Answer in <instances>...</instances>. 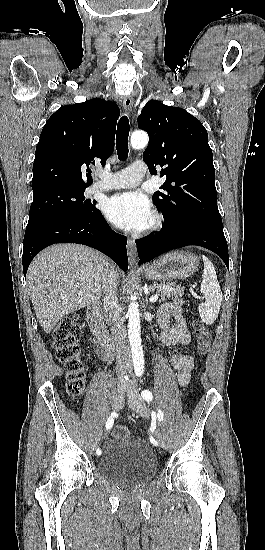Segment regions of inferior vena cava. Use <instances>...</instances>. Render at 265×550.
<instances>
[{
  "mask_svg": "<svg viewBox=\"0 0 265 550\" xmlns=\"http://www.w3.org/2000/svg\"><path fill=\"white\" fill-rule=\"evenodd\" d=\"M104 293V312L106 322L110 326L111 334L115 343L116 369L118 381L126 383L125 376L132 372L131 352L127 340V332L121 321V311L118 304L117 294V276L112 269L109 271L105 284Z\"/></svg>",
  "mask_w": 265,
  "mask_h": 550,
  "instance_id": "1",
  "label": "inferior vena cava"
}]
</instances>
